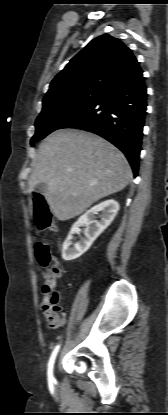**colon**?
I'll return each instance as SVG.
<instances>
[{"mask_svg": "<svg viewBox=\"0 0 168 415\" xmlns=\"http://www.w3.org/2000/svg\"><path fill=\"white\" fill-rule=\"evenodd\" d=\"M34 221L39 231H57V227L52 220V214L45 199L41 196H35L33 199ZM35 253L40 267L44 270L49 284L56 288V280L61 275V269L58 260L50 251L45 243L38 241L35 244Z\"/></svg>", "mask_w": 168, "mask_h": 415, "instance_id": "5ec220e1", "label": "colon"}]
</instances>
